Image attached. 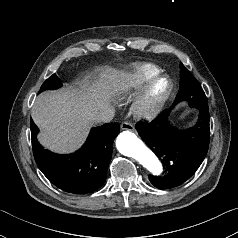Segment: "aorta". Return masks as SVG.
Wrapping results in <instances>:
<instances>
[{"instance_id": "1", "label": "aorta", "mask_w": 238, "mask_h": 238, "mask_svg": "<svg viewBox=\"0 0 238 238\" xmlns=\"http://www.w3.org/2000/svg\"><path fill=\"white\" fill-rule=\"evenodd\" d=\"M116 147L122 155L133 158L152 175L159 176L163 172L159 158L134 133H120L116 139Z\"/></svg>"}]
</instances>
